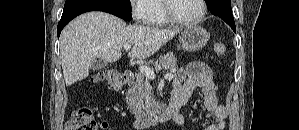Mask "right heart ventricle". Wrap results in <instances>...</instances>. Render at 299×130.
I'll use <instances>...</instances> for the list:
<instances>
[{
  "label": "right heart ventricle",
  "instance_id": "e07e8e85",
  "mask_svg": "<svg viewBox=\"0 0 299 130\" xmlns=\"http://www.w3.org/2000/svg\"><path fill=\"white\" fill-rule=\"evenodd\" d=\"M152 26H165L169 24L164 12V0H152L148 5V19L146 21Z\"/></svg>",
  "mask_w": 299,
  "mask_h": 130
}]
</instances>
